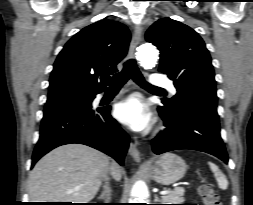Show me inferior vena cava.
Returning <instances> with one entry per match:
<instances>
[{"mask_svg":"<svg viewBox=\"0 0 253 205\" xmlns=\"http://www.w3.org/2000/svg\"><path fill=\"white\" fill-rule=\"evenodd\" d=\"M108 178H107V175H104V180H107ZM105 188H106V186H105Z\"/></svg>","mask_w":253,"mask_h":205,"instance_id":"1","label":"inferior vena cava"}]
</instances>
